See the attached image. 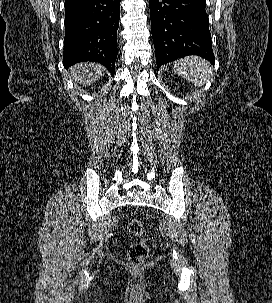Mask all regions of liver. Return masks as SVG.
<instances>
[{
	"label": "liver",
	"mask_w": 272,
	"mask_h": 303,
	"mask_svg": "<svg viewBox=\"0 0 272 303\" xmlns=\"http://www.w3.org/2000/svg\"><path fill=\"white\" fill-rule=\"evenodd\" d=\"M105 68L99 63H79L70 69L71 76L76 83L83 87L89 86L97 81L104 72Z\"/></svg>",
	"instance_id": "obj_1"
}]
</instances>
